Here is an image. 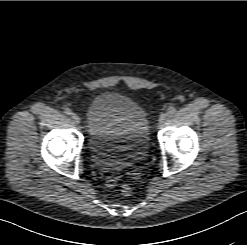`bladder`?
Here are the masks:
<instances>
[{
    "mask_svg": "<svg viewBox=\"0 0 247 245\" xmlns=\"http://www.w3.org/2000/svg\"><path fill=\"white\" fill-rule=\"evenodd\" d=\"M91 157L100 167L119 170L139 161L149 148V122L133 99L107 91L87 108Z\"/></svg>",
    "mask_w": 247,
    "mask_h": 245,
    "instance_id": "31cf9c89",
    "label": "bladder"
}]
</instances>
